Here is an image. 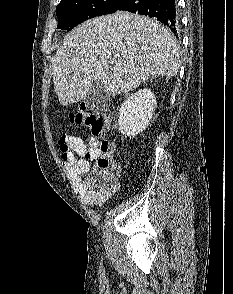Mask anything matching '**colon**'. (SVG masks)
Returning <instances> with one entry per match:
<instances>
[{"label": "colon", "mask_w": 233, "mask_h": 294, "mask_svg": "<svg viewBox=\"0 0 233 294\" xmlns=\"http://www.w3.org/2000/svg\"><path fill=\"white\" fill-rule=\"evenodd\" d=\"M69 121L73 124L83 125L92 134V138L97 141L93 159L95 160L94 168L87 178L91 187L105 188L108 187L118 175V166L112 157L111 144L103 139L108 121L107 118L86 111L83 107L70 112ZM58 145L62 159L67 158L69 146L66 135L58 140Z\"/></svg>", "instance_id": "obj_1"}]
</instances>
